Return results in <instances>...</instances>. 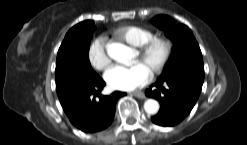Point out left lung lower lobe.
<instances>
[{
    "label": "left lung lower lobe",
    "mask_w": 247,
    "mask_h": 145,
    "mask_svg": "<svg viewBox=\"0 0 247 145\" xmlns=\"http://www.w3.org/2000/svg\"><path fill=\"white\" fill-rule=\"evenodd\" d=\"M204 81V70L179 69L161 75L145 91L146 96L160 101L161 109L152 121L160 126L180 123L194 107Z\"/></svg>",
    "instance_id": "obj_1"
}]
</instances>
